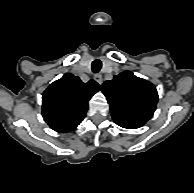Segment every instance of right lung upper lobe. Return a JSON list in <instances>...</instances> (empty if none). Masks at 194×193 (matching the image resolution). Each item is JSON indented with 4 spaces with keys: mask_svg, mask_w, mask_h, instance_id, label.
I'll use <instances>...</instances> for the list:
<instances>
[{
    "mask_svg": "<svg viewBox=\"0 0 194 193\" xmlns=\"http://www.w3.org/2000/svg\"><path fill=\"white\" fill-rule=\"evenodd\" d=\"M99 90L100 85L94 80L83 83L66 73L44 91L42 116L53 130L70 132L83 120L88 101Z\"/></svg>",
    "mask_w": 194,
    "mask_h": 193,
    "instance_id": "right-lung-upper-lobe-1",
    "label": "right lung upper lobe"
}]
</instances>
